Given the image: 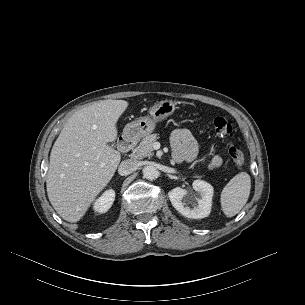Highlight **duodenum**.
Masks as SVG:
<instances>
[{"instance_id": "1", "label": "duodenum", "mask_w": 305, "mask_h": 305, "mask_svg": "<svg viewBox=\"0 0 305 305\" xmlns=\"http://www.w3.org/2000/svg\"><path fill=\"white\" fill-rule=\"evenodd\" d=\"M135 142V138L131 135H125L118 141V149L122 153L128 152Z\"/></svg>"}]
</instances>
